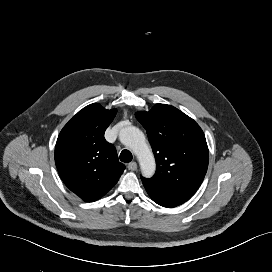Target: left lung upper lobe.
Returning a JSON list of instances; mask_svg holds the SVG:
<instances>
[{"mask_svg":"<svg viewBox=\"0 0 272 272\" xmlns=\"http://www.w3.org/2000/svg\"><path fill=\"white\" fill-rule=\"evenodd\" d=\"M135 116L146 129L157 164L151 179H141L194 195L209 161L202 129L189 116L166 104H156L150 111H139Z\"/></svg>","mask_w":272,"mask_h":272,"instance_id":"obj_1","label":"left lung upper lobe"}]
</instances>
